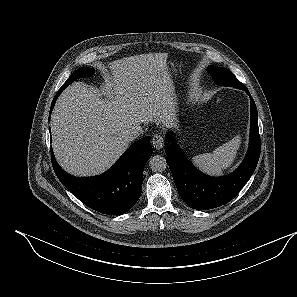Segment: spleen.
<instances>
[{
    "label": "spleen",
    "mask_w": 297,
    "mask_h": 297,
    "mask_svg": "<svg viewBox=\"0 0 297 297\" xmlns=\"http://www.w3.org/2000/svg\"><path fill=\"white\" fill-rule=\"evenodd\" d=\"M241 137L235 136L229 142L215 149L212 153H204L192 158L193 163L205 173L221 175L235 160Z\"/></svg>",
    "instance_id": "spleen-1"
}]
</instances>
